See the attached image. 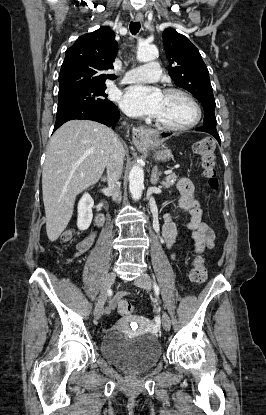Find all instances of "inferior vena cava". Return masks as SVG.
Segmentation results:
<instances>
[{
  "label": "inferior vena cava",
  "instance_id": "602c4592",
  "mask_svg": "<svg viewBox=\"0 0 266 415\" xmlns=\"http://www.w3.org/2000/svg\"><path fill=\"white\" fill-rule=\"evenodd\" d=\"M125 149L117 137L113 139V149L107 162L108 188L114 201L121 200L119 178L123 170Z\"/></svg>",
  "mask_w": 266,
  "mask_h": 415
}]
</instances>
